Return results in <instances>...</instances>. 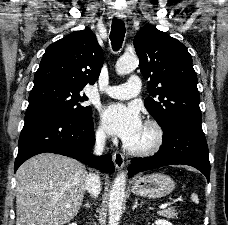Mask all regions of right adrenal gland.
Returning <instances> with one entry per match:
<instances>
[{
	"instance_id": "right-adrenal-gland-1",
	"label": "right adrenal gland",
	"mask_w": 228,
	"mask_h": 225,
	"mask_svg": "<svg viewBox=\"0 0 228 225\" xmlns=\"http://www.w3.org/2000/svg\"><path fill=\"white\" fill-rule=\"evenodd\" d=\"M82 207H86V209H90L91 205L90 203H86V205H82Z\"/></svg>"
}]
</instances>
